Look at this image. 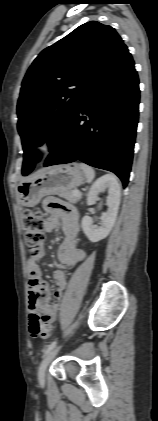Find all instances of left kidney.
<instances>
[{"label": "left kidney", "mask_w": 158, "mask_h": 421, "mask_svg": "<svg viewBox=\"0 0 158 421\" xmlns=\"http://www.w3.org/2000/svg\"><path fill=\"white\" fill-rule=\"evenodd\" d=\"M108 190L106 205L107 212H103L99 227L92 225L90 216H84L81 221L82 229L87 238L95 243L106 238L114 226L121 196V188L115 176L107 174L99 178L90 188L87 195V205H93L98 200L100 192Z\"/></svg>", "instance_id": "obj_1"}]
</instances>
